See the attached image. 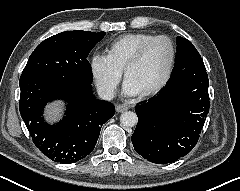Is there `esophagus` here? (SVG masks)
<instances>
[{
  "instance_id": "34e87169",
  "label": "esophagus",
  "mask_w": 240,
  "mask_h": 191,
  "mask_svg": "<svg viewBox=\"0 0 240 191\" xmlns=\"http://www.w3.org/2000/svg\"><path fill=\"white\" fill-rule=\"evenodd\" d=\"M127 109H128V106H126L124 104H119L116 106L117 112H120V113L126 111Z\"/></svg>"
}]
</instances>
